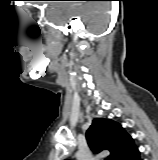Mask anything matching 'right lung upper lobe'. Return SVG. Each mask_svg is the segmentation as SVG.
<instances>
[{"instance_id":"right-lung-upper-lobe-1","label":"right lung upper lobe","mask_w":158,"mask_h":160,"mask_svg":"<svg viewBox=\"0 0 158 160\" xmlns=\"http://www.w3.org/2000/svg\"><path fill=\"white\" fill-rule=\"evenodd\" d=\"M86 139L94 153L110 152L105 160H123L135 148L132 137L110 119L95 118L86 132Z\"/></svg>"}]
</instances>
